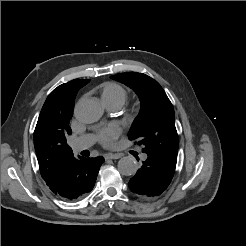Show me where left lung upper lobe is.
Listing matches in <instances>:
<instances>
[{"mask_svg": "<svg viewBox=\"0 0 246 246\" xmlns=\"http://www.w3.org/2000/svg\"><path fill=\"white\" fill-rule=\"evenodd\" d=\"M111 78L132 88L141 101V111L128 133L129 139L143 145L144 153L155 154L176 165L179 141L174 109L163 88L142 73H120Z\"/></svg>", "mask_w": 246, "mask_h": 246, "instance_id": "left-lung-upper-lobe-1", "label": "left lung upper lobe"}]
</instances>
